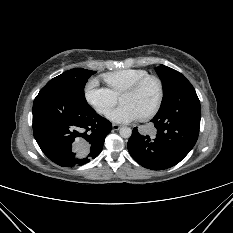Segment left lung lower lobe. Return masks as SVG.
Listing matches in <instances>:
<instances>
[{
	"mask_svg": "<svg viewBox=\"0 0 233 233\" xmlns=\"http://www.w3.org/2000/svg\"><path fill=\"white\" fill-rule=\"evenodd\" d=\"M200 119V101L191 83L185 79L152 119L156 135L144 136L134 128L127 144L128 151L145 168H170L178 164L195 145Z\"/></svg>",
	"mask_w": 233,
	"mask_h": 233,
	"instance_id": "obj_1",
	"label": "left lung lower lobe"
}]
</instances>
